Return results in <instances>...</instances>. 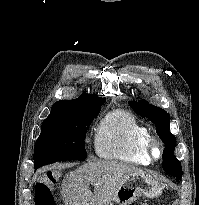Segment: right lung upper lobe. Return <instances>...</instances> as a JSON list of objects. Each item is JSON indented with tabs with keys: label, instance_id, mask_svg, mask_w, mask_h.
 I'll list each match as a JSON object with an SVG mask.
<instances>
[{
	"label": "right lung upper lobe",
	"instance_id": "right-lung-upper-lobe-1",
	"mask_svg": "<svg viewBox=\"0 0 199 205\" xmlns=\"http://www.w3.org/2000/svg\"><path fill=\"white\" fill-rule=\"evenodd\" d=\"M104 100H105L104 98L97 97V96H94V95H91V94H83L77 99L58 101V102L54 103L52 108L60 107V106H63V105L79 103V102L104 101Z\"/></svg>",
	"mask_w": 199,
	"mask_h": 205
}]
</instances>
